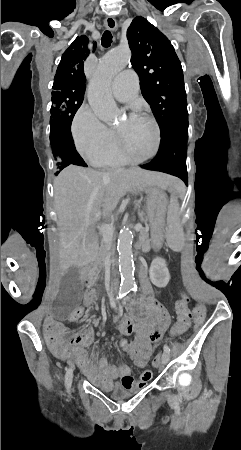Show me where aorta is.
I'll list each match as a JSON object with an SVG mask.
<instances>
[{
    "instance_id": "aorta-1",
    "label": "aorta",
    "mask_w": 241,
    "mask_h": 450,
    "mask_svg": "<svg viewBox=\"0 0 241 450\" xmlns=\"http://www.w3.org/2000/svg\"><path fill=\"white\" fill-rule=\"evenodd\" d=\"M130 58L131 52L127 47L109 51L99 62L91 78L88 102L96 116L106 123H113L119 116V109L110 92L111 81L128 65ZM132 241L133 233L126 226L120 231L117 243L121 284L125 287L135 284Z\"/></svg>"
}]
</instances>
